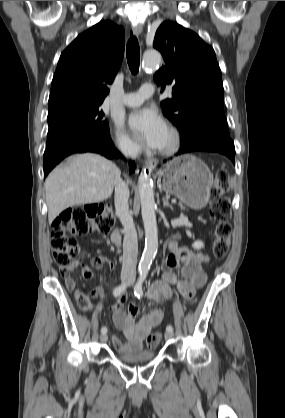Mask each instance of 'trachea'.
I'll return each instance as SVG.
<instances>
[{"label": "trachea", "instance_id": "obj_1", "mask_svg": "<svg viewBox=\"0 0 285 418\" xmlns=\"http://www.w3.org/2000/svg\"><path fill=\"white\" fill-rule=\"evenodd\" d=\"M126 56L132 74H137L140 64V48L135 36L131 37L127 43Z\"/></svg>", "mask_w": 285, "mask_h": 418}]
</instances>
